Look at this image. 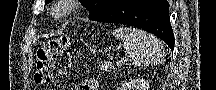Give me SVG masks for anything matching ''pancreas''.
I'll return each instance as SVG.
<instances>
[{
  "mask_svg": "<svg viewBox=\"0 0 216 90\" xmlns=\"http://www.w3.org/2000/svg\"><path fill=\"white\" fill-rule=\"evenodd\" d=\"M100 72H109V69L112 68L111 64H100L99 65Z\"/></svg>",
  "mask_w": 216,
  "mask_h": 90,
  "instance_id": "1",
  "label": "pancreas"
}]
</instances>
